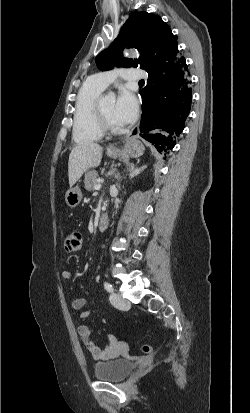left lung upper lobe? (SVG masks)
<instances>
[{"mask_svg":"<svg viewBox=\"0 0 250 413\" xmlns=\"http://www.w3.org/2000/svg\"><path fill=\"white\" fill-rule=\"evenodd\" d=\"M163 42L177 43L170 27L159 16L147 12H134L125 22L118 37L111 45L95 58L97 67L102 71L119 67H137L147 71L152 66V59L157 47ZM136 48L144 56L129 59L122 56V49Z\"/></svg>","mask_w":250,"mask_h":413,"instance_id":"5c2ea615","label":"left lung upper lobe"}]
</instances>
